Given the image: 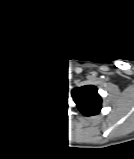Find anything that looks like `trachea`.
Listing matches in <instances>:
<instances>
[{
	"label": "trachea",
	"instance_id": "1",
	"mask_svg": "<svg viewBox=\"0 0 134 159\" xmlns=\"http://www.w3.org/2000/svg\"><path fill=\"white\" fill-rule=\"evenodd\" d=\"M56 79H57V81H61L62 80V74L60 72H58L56 74Z\"/></svg>",
	"mask_w": 134,
	"mask_h": 159
}]
</instances>
